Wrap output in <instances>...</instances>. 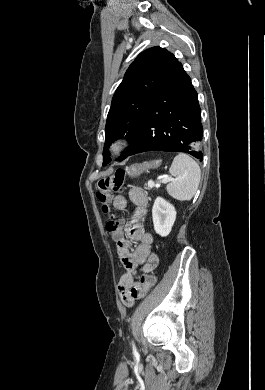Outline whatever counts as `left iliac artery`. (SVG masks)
Segmentation results:
<instances>
[{
  "label": "left iliac artery",
  "instance_id": "1",
  "mask_svg": "<svg viewBox=\"0 0 265 390\" xmlns=\"http://www.w3.org/2000/svg\"><path fill=\"white\" fill-rule=\"evenodd\" d=\"M132 345H133V353H134V355H137L138 353H137L136 347L134 344H132Z\"/></svg>",
  "mask_w": 265,
  "mask_h": 390
}]
</instances>
